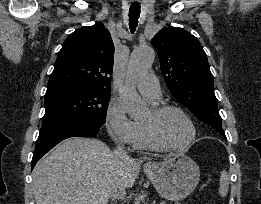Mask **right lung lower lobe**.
<instances>
[{"mask_svg":"<svg viewBox=\"0 0 261 204\" xmlns=\"http://www.w3.org/2000/svg\"><path fill=\"white\" fill-rule=\"evenodd\" d=\"M102 124L90 120H70L42 126L33 153L31 169L55 145L70 137L95 136Z\"/></svg>","mask_w":261,"mask_h":204,"instance_id":"98d812e1","label":"right lung lower lobe"}]
</instances>
